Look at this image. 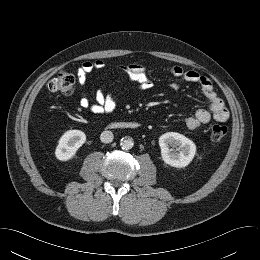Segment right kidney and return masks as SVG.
Masks as SVG:
<instances>
[{
	"label": "right kidney",
	"mask_w": 260,
	"mask_h": 260,
	"mask_svg": "<svg viewBox=\"0 0 260 260\" xmlns=\"http://www.w3.org/2000/svg\"><path fill=\"white\" fill-rule=\"evenodd\" d=\"M86 135L81 130L66 131L58 141L55 156L60 161H67L74 157L77 150L85 143Z\"/></svg>",
	"instance_id": "obj_1"
}]
</instances>
